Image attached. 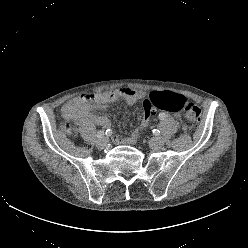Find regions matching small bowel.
Instances as JSON below:
<instances>
[{
  "label": "small bowel",
  "mask_w": 248,
  "mask_h": 248,
  "mask_svg": "<svg viewBox=\"0 0 248 248\" xmlns=\"http://www.w3.org/2000/svg\"><path fill=\"white\" fill-rule=\"evenodd\" d=\"M145 97V93L139 89L129 87H122L112 91L105 92H89L80 96L74 97L65 103L61 109L62 114L67 119L89 118L98 125L105 128L110 126V120L103 115L100 110L104 109L108 104L123 99L127 104L134 105L139 100ZM180 132L188 131L187 123L179 124ZM137 132L135 131L129 137H122L120 135L114 136L116 143L133 144L136 141Z\"/></svg>",
  "instance_id": "obj_1"
}]
</instances>
